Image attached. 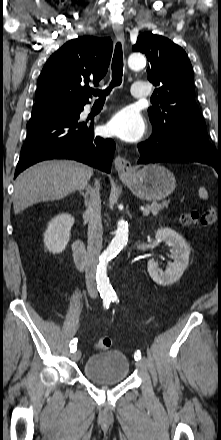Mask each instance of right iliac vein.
Returning a JSON list of instances; mask_svg holds the SVG:
<instances>
[{
	"label": "right iliac vein",
	"mask_w": 221,
	"mask_h": 440,
	"mask_svg": "<svg viewBox=\"0 0 221 440\" xmlns=\"http://www.w3.org/2000/svg\"><path fill=\"white\" fill-rule=\"evenodd\" d=\"M80 357H81V352H80V351H76V352H74V353L72 354V359H73L74 361H78V360L80 359Z\"/></svg>",
	"instance_id": "right-iliac-vein-1"
}]
</instances>
